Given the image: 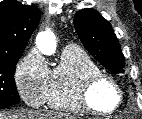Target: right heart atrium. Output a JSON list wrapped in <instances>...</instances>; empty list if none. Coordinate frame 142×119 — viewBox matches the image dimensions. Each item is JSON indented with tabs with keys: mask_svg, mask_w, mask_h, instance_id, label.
Segmentation results:
<instances>
[{
	"mask_svg": "<svg viewBox=\"0 0 142 119\" xmlns=\"http://www.w3.org/2000/svg\"><path fill=\"white\" fill-rule=\"evenodd\" d=\"M49 71L45 58L37 50L26 53L17 64L15 86L27 105L39 107L44 103Z\"/></svg>",
	"mask_w": 142,
	"mask_h": 119,
	"instance_id": "right-heart-atrium-1",
	"label": "right heart atrium"
}]
</instances>
